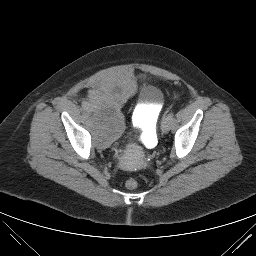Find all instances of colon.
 Listing matches in <instances>:
<instances>
[{
    "instance_id": "colon-1",
    "label": "colon",
    "mask_w": 256,
    "mask_h": 256,
    "mask_svg": "<svg viewBox=\"0 0 256 256\" xmlns=\"http://www.w3.org/2000/svg\"><path fill=\"white\" fill-rule=\"evenodd\" d=\"M139 186V180L137 178H129L126 181V187L128 189H136Z\"/></svg>"
}]
</instances>
